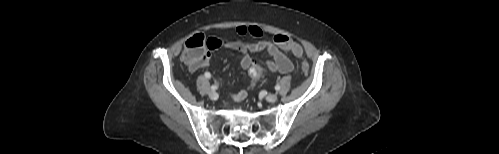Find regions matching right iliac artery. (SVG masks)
I'll use <instances>...</instances> for the list:
<instances>
[{"instance_id": "obj_1", "label": "right iliac artery", "mask_w": 499, "mask_h": 154, "mask_svg": "<svg viewBox=\"0 0 499 154\" xmlns=\"http://www.w3.org/2000/svg\"><path fill=\"white\" fill-rule=\"evenodd\" d=\"M205 77L208 78V79H210L211 78V74L209 72H206L205 73ZM217 88H218L217 85H212L211 86V90H213V91L217 90Z\"/></svg>"}]
</instances>
